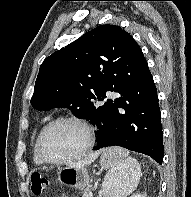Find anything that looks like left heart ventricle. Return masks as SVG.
Instances as JSON below:
<instances>
[{"mask_svg": "<svg viewBox=\"0 0 191 197\" xmlns=\"http://www.w3.org/2000/svg\"><path fill=\"white\" fill-rule=\"evenodd\" d=\"M86 144L84 129L74 122H61L44 135L42 147L52 159H62L78 153Z\"/></svg>", "mask_w": 191, "mask_h": 197, "instance_id": "left-heart-ventricle-1", "label": "left heart ventricle"}]
</instances>
